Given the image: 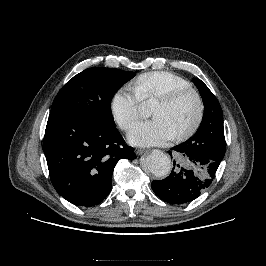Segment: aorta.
I'll use <instances>...</instances> for the list:
<instances>
[{"label": "aorta", "mask_w": 266, "mask_h": 266, "mask_svg": "<svg viewBox=\"0 0 266 266\" xmlns=\"http://www.w3.org/2000/svg\"><path fill=\"white\" fill-rule=\"evenodd\" d=\"M145 165L156 177L166 176L170 171V158L160 150H153L147 157Z\"/></svg>", "instance_id": "762f6f07"}]
</instances>
